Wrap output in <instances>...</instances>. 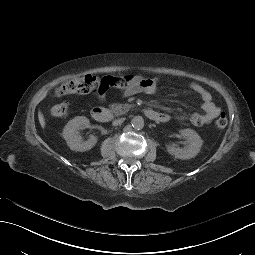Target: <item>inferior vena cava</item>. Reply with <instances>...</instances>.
<instances>
[{
    "label": "inferior vena cava",
    "mask_w": 255,
    "mask_h": 255,
    "mask_svg": "<svg viewBox=\"0 0 255 255\" xmlns=\"http://www.w3.org/2000/svg\"><path fill=\"white\" fill-rule=\"evenodd\" d=\"M124 118H121V119H117V120H114L113 121V126H118V125H121L123 122H124Z\"/></svg>",
    "instance_id": "inferior-vena-cava-1"
}]
</instances>
